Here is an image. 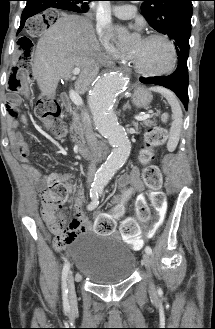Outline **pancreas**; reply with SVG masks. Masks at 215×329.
Instances as JSON below:
<instances>
[{
    "label": "pancreas",
    "instance_id": "obj_1",
    "mask_svg": "<svg viewBox=\"0 0 215 329\" xmlns=\"http://www.w3.org/2000/svg\"><path fill=\"white\" fill-rule=\"evenodd\" d=\"M70 115L72 116V123L70 126V132L74 134L73 138H75L77 135L80 139L83 137V123L81 116L79 115L77 109H73L70 112ZM142 124L146 127H151L155 125V123L151 120H144Z\"/></svg>",
    "mask_w": 215,
    "mask_h": 329
}]
</instances>
